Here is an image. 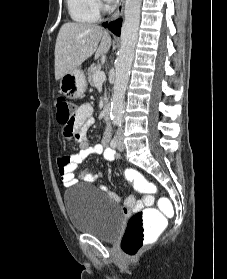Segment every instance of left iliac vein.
<instances>
[{
    "mask_svg": "<svg viewBox=\"0 0 227 279\" xmlns=\"http://www.w3.org/2000/svg\"><path fill=\"white\" fill-rule=\"evenodd\" d=\"M124 149H125V146H124L122 137H119V139H118V150L122 152V151H124Z\"/></svg>",
    "mask_w": 227,
    "mask_h": 279,
    "instance_id": "obj_1",
    "label": "left iliac vein"
}]
</instances>
